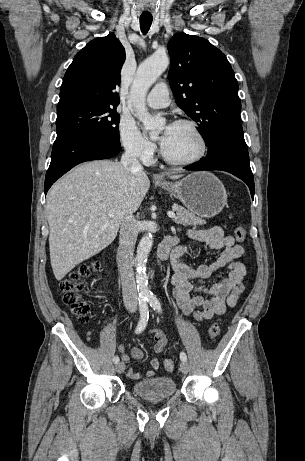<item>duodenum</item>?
I'll use <instances>...</instances> for the list:
<instances>
[{"label":"duodenum","instance_id":"obj_1","mask_svg":"<svg viewBox=\"0 0 305 461\" xmlns=\"http://www.w3.org/2000/svg\"><path fill=\"white\" fill-rule=\"evenodd\" d=\"M178 246L177 237H169L160 243L157 249V257L159 260H166L171 250L175 249Z\"/></svg>","mask_w":305,"mask_h":461}]
</instances>
